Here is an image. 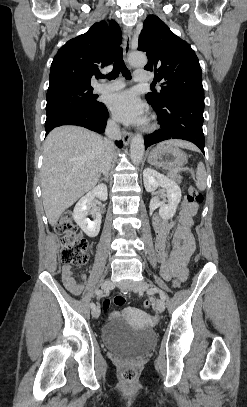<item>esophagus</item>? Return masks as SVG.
<instances>
[{"label":"esophagus","instance_id":"esophagus-1","mask_svg":"<svg viewBox=\"0 0 247 407\" xmlns=\"http://www.w3.org/2000/svg\"><path fill=\"white\" fill-rule=\"evenodd\" d=\"M131 35L132 29L131 27L125 26L124 27V60L128 64V56L131 50ZM131 68V66H130ZM132 138V133L128 131H123V143L124 145H128Z\"/></svg>","mask_w":247,"mask_h":407}]
</instances>
